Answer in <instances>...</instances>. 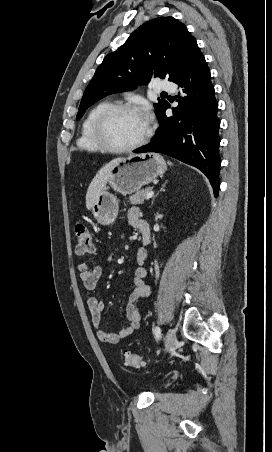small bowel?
I'll use <instances>...</instances> for the list:
<instances>
[{
    "instance_id": "obj_1",
    "label": "small bowel",
    "mask_w": 272,
    "mask_h": 452,
    "mask_svg": "<svg viewBox=\"0 0 272 452\" xmlns=\"http://www.w3.org/2000/svg\"><path fill=\"white\" fill-rule=\"evenodd\" d=\"M140 219V212L137 207H132L128 212L129 223L133 227H137V221ZM146 251L139 249L136 254V261L139 267L136 269L132 278V290L129 294L128 305L126 309L127 325L118 332L106 331L101 323V311L104 308V302L100 296L93 295L87 300V307L91 314V322L97 330V337L101 342L109 344H117L123 338L132 335L140 326L141 311L137 302L140 299L148 298L150 296V288L145 284L144 278L146 271L141 266L146 259ZM79 277L87 290H93L96 287L98 280L102 275V268L100 266L90 267L86 263H79L77 265Z\"/></svg>"
}]
</instances>
